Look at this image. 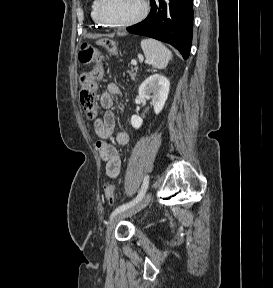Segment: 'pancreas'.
Listing matches in <instances>:
<instances>
[{
    "mask_svg": "<svg viewBox=\"0 0 273 288\" xmlns=\"http://www.w3.org/2000/svg\"><path fill=\"white\" fill-rule=\"evenodd\" d=\"M136 71H137L136 68H131V69L126 70V73L129 74V76H130L132 79H134L135 76H136ZM123 75H125V73H124Z\"/></svg>",
    "mask_w": 273,
    "mask_h": 288,
    "instance_id": "cf45deb5",
    "label": "pancreas"
}]
</instances>
